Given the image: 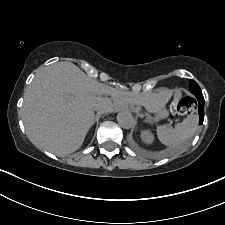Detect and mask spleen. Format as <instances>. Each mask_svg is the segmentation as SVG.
Segmentation results:
<instances>
[{"label": "spleen", "mask_w": 225, "mask_h": 225, "mask_svg": "<svg viewBox=\"0 0 225 225\" xmlns=\"http://www.w3.org/2000/svg\"><path fill=\"white\" fill-rule=\"evenodd\" d=\"M198 117L190 115L174 128L160 125L157 127V136L160 142L166 146H177L189 139L196 131Z\"/></svg>", "instance_id": "obj_1"}]
</instances>
